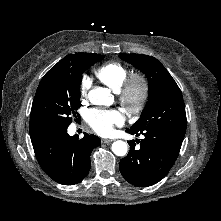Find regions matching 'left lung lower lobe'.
I'll list each match as a JSON object with an SVG mask.
<instances>
[{
  "label": "left lung lower lobe",
  "instance_id": "obj_1",
  "mask_svg": "<svg viewBox=\"0 0 221 221\" xmlns=\"http://www.w3.org/2000/svg\"><path fill=\"white\" fill-rule=\"evenodd\" d=\"M176 129H127L130 134L144 135L140 148L129 141L130 150L121 159L119 169L122 176L132 185L147 187L156 184L166 176L178 157L185 132L186 119L179 117Z\"/></svg>",
  "mask_w": 221,
  "mask_h": 221
}]
</instances>
